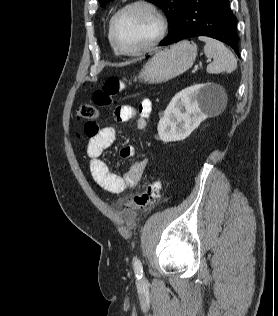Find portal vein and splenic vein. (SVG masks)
Returning a JSON list of instances; mask_svg holds the SVG:
<instances>
[{"label": "portal vein and splenic vein", "mask_w": 278, "mask_h": 316, "mask_svg": "<svg viewBox=\"0 0 278 316\" xmlns=\"http://www.w3.org/2000/svg\"><path fill=\"white\" fill-rule=\"evenodd\" d=\"M211 60H207V62H210ZM198 69V65H195L194 69H193V72L195 73Z\"/></svg>", "instance_id": "obj_1"}]
</instances>
